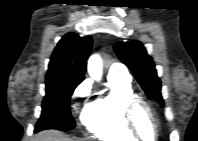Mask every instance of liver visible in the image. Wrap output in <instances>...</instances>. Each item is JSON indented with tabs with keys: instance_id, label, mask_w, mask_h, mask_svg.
Listing matches in <instances>:
<instances>
[{
	"instance_id": "1",
	"label": "liver",
	"mask_w": 198,
	"mask_h": 141,
	"mask_svg": "<svg viewBox=\"0 0 198 141\" xmlns=\"http://www.w3.org/2000/svg\"><path fill=\"white\" fill-rule=\"evenodd\" d=\"M37 141H72L58 131H43L37 134Z\"/></svg>"
}]
</instances>
